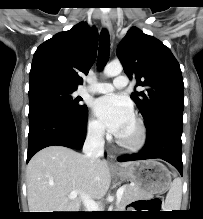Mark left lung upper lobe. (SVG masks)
Returning <instances> with one entry per match:
<instances>
[{
    "label": "left lung upper lobe",
    "mask_w": 203,
    "mask_h": 219,
    "mask_svg": "<svg viewBox=\"0 0 203 219\" xmlns=\"http://www.w3.org/2000/svg\"><path fill=\"white\" fill-rule=\"evenodd\" d=\"M117 55L129 78L144 91L131 94L146 127L169 113H183L184 83L179 63L161 41L132 27L117 47Z\"/></svg>",
    "instance_id": "1"
}]
</instances>
